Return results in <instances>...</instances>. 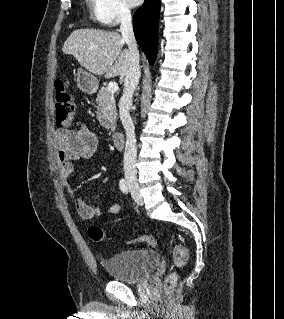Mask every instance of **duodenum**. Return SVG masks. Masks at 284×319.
Returning a JSON list of instances; mask_svg holds the SVG:
<instances>
[{"label": "duodenum", "instance_id": "1", "mask_svg": "<svg viewBox=\"0 0 284 319\" xmlns=\"http://www.w3.org/2000/svg\"><path fill=\"white\" fill-rule=\"evenodd\" d=\"M112 140H113V144L117 149H122L124 147L125 144V137L124 134L119 132V131H115L113 132L112 135Z\"/></svg>", "mask_w": 284, "mask_h": 319}]
</instances>
